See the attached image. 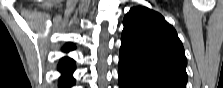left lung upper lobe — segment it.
<instances>
[{
	"mask_svg": "<svg viewBox=\"0 0 223 88\" xmlns=\"http://www.w3.org/2000/svg\"><path fill=\"white\" fill-rule=\"evenodd\" d=\"M119 65L174 88H186L187 59L175 29L146 7H132L125 15Z\"/></svg>",
	"mask_w": 223,
	"mask_h": 88,
	"instance_id": "1",
	"label": "left lung upper lobe"
}]
</instances>
